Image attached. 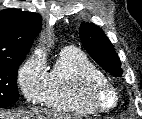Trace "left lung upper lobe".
<instances>
[{"mask_svg":"<svg viewBox=\"0 0 142 119\" xmlns=\"http://www.w3.org/2000/svg\"><path fill=\"white\" fill-rule=\"evenodd\" d=\"M80 38L89 55L115 77L122 75L120 59L103 31L94 24L82 23Z\"/></svg>","mask_w":142,"mask_h":119,"instance_id":"5c2ea615","label":"left lung upper lobe"}]
</instances>
